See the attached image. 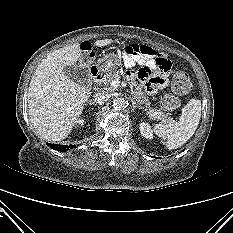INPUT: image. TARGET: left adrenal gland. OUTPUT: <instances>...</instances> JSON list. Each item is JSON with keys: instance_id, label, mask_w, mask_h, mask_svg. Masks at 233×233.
Returning <instances> with one entry per match:
<instances>
[{"instance_id": "obj_1", "label": "left adrenal gland", "mask_w": 233, "mask_h": 233, "mask_svg": "<svg viewBox=\"0 0 233 233\" xmlns=\"http://www.w3.org/2000/svg\"><path fill=\"white\" fill-rule=\"evenodd\" d=\"M131 101H132L133 109H135L136 107H139V109H142V107L139 106V105L136 103V101L134 100V98H132Z\"/></svg>"}]
</instances>
